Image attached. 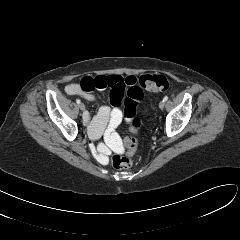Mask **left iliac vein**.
Returning a JSON list of instances; mask_svg holds the SVG:
<instances>
[{"label":"left iliac vein","mask_w":240,"mask_h":240,"mask_svg":"<svg viewBox=\"0 0 240 240\" xmlns=\"http://www.w3.org/2000/svg\"><path fill=\"white\" fill-rule=\"evenodd\" d=\"M165 106V102L162 100L160 103H159V108L160 109H163Z\"/></svg>","instance_id":"4c4485c4"}]
</instances>
